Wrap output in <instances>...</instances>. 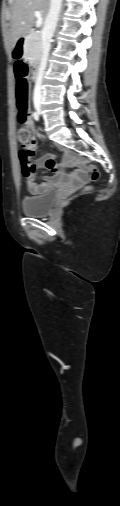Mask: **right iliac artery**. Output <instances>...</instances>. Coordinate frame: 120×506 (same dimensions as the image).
I'll return each instance as SVG.
<instances>
[{
  "mask_svg": "<svg viewBox=\"0 0 120 506\" xmlns=\"http://www.w3.org/2000/svg\"><path fill=\"white\" fill-rule=\"evenodd\" d=\"M32 116H33V118H34L36 121H38V120H39V115H38V113H37V112H33Z\"/></svg>",
  "mask_w": 120,
  "mask_h": 506,
  "instance_id": "1",
  "label": "right iliac artery"
}]
</instances>
